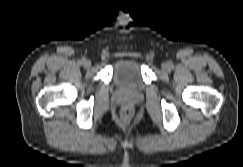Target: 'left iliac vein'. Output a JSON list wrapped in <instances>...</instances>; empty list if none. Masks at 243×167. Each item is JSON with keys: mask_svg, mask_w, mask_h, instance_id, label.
<instances>
[{"mask_svg": "<svg viewBox=\"0 0 243 167\" xmlns=\"http://www.w3.org/2000/svg\"><path fill=\"white\" fill-rule=\"evenodd\" d=\"M161 69H162L163 72H167L170 69L169 63H163L161 65Z\"/></svg>", "mask_w": 243, "mask_h": 167, "instance_id": "4c4485c4", "label": "left iliac vein"}]
</instances>
